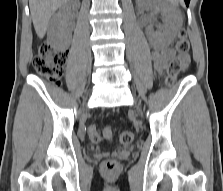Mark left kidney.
<instances>
[{"instance_id":"1","label":"left kidney","mask_w":223,"mask_h":191,"mask_svg":"<svg viewBox=\"0 0 223 191\" xmlns=\"http://www.w3.org/2000/svg\"><path fill=\"white\" fill-rule=\"evenodd\" d=\"M137 6L141 9L151 8L161 14L163 25L159 26L156 31L149 27L148 36L153 43L168 46L175 38L182 22L178 11L161 0H138Z\"/></svg>"}]
</instances>
